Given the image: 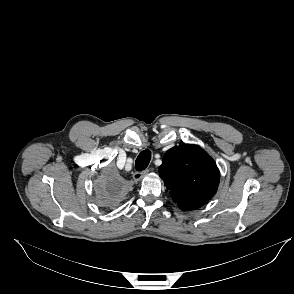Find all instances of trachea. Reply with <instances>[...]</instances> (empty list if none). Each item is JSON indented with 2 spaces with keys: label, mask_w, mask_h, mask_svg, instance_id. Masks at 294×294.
<instances>
[{
  "label": "trachea",
  "mask_w": 294,
  "mask_h": 294,
  "mask_svg": "<svg viewBox=\"0 0 294 294\" xmlns=\"http://www.w3.org/2000/svg\"><path fill=\"white\" fill-rule=\"evenodd\" d=\"M151 160V152L149 150L142 151L135 162V168L137 171L145 170Z\"/></svg>",
  "instance_id": "3493384b"
}]
</instances>
